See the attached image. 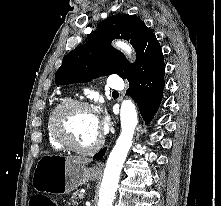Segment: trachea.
Returning <instances> with one entry per match:
<instances>
[{"label": "trachea", "instance_id": "obj_1", "mask_svg": "<svg viewBox=\"0 0 221 206\" xmlns=\"http://www.w3.org/2000/svg\"><path fill=\"white\" fill-rule=\"evenodd\" d=\"M113 93H118L117 91H113Z\"/></svg>", "mask_w": 221, "mask_h": 206}]
</instances>
